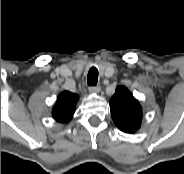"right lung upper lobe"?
I'll list each match as a JSON object with an SVG mask.
<instances>
[{
  "mask_svg": "<svg viewBox=\"0 0 184 174\" xmlns=\"http://www.w3.org/2000/svg\"><path fill=\"white\" fill-rule=\"evenodd\" d=\"M78 95L69 91L61 92L52 110L53 118L60 123L69 122L74 114Z\"/></svg>",
  "mask_w": 184,
  "mask_h": 174,
  "instance_id": "right-lung-upper-lobe-1",
  "label": "right lung upper lobe"
}]
</instances>
